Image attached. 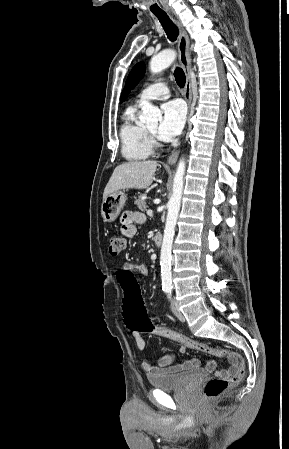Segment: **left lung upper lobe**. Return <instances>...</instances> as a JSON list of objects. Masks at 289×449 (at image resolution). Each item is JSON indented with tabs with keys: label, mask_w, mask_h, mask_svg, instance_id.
I'll return each mask as SVG.
<instances>
[{
	"label": "left lung upper lobe",
	"mask_w": 289,
	"mask_h": 449,
	"mask_svg": "<svg viewBox=\"0 0 289 449\" xmlns=\"http://www.w3.org/2000/svg\"><path fill=\"white\" fill-rule=\"evenodd\" d=\"M144 73H145V65L143 62H140L133 67L126 80L125 83L126 87L122 91L121 102H123V100L129 94L130 90L133 89L138 84L139 80L142 78Z\"/></svg>",
	"instance_id": "obj_1"
}]
</instances>
